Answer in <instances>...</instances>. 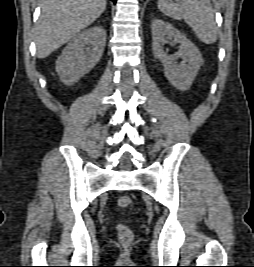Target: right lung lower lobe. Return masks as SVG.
Masks as SVG:
<instances>
[{"label": "right lung lower lobe", "mask_w": 254, "mask_h": 267, "mask_svg": "<svg viewBox=\"0 0 254 267\" xmlns=\"http://www.w3.org/2000/svg\"><path fill=\"white\" fill-rule=\"evenodd\" d=\"M114 3H116V0H112Z\"/></svg>", "instance_id": "right-lung-lower-lobe-1"}]
</instances>
